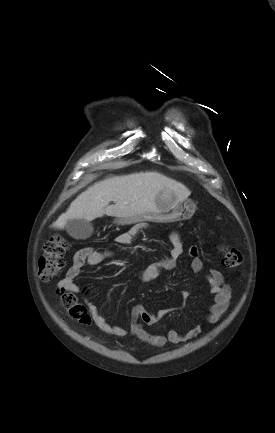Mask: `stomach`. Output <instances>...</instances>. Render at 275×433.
<instances>
[{"instance_id":"1","label":"stomach","mask_w":275,"mask_h":433,"mask_svg":"<svg viewBox=\"0 0 275 433\" xmlns=\"http://www.w3.org/2000/svg\"><path fill=\"white\" fill-rule=\"evenodd\" d=\"M157 210L128 218H118L119 225L133 222L152 221L171 223L190 219L196 210V205L190 200H178L173 192H161L157 195Z\"/></svg>"}]
</instances>
